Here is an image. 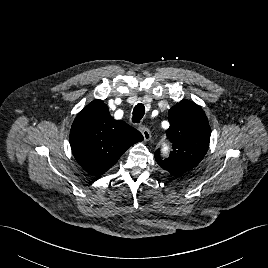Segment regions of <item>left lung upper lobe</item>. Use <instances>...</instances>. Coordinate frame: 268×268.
Returning <instances> with one entry per match:
<instances>
[{"label": "left lung upper lobe", "instance_id": "left-lung-upper-lobe-1", "mask_svg": "<svg viewBox=\"0 0 268 268\" xmlns=\"http://www.w3.org/2000/svg\"><path fill=\"white\" fill-rule=\"evenodd\" d=\"M170 127L167 138L173 144L169 157L162 160L155 152L158 164L172 176H179L197 166L205 156L210 127L204 111L194 102L182 100L168 112Z\"/></svg>", "mask_w": 268, "mask_h": 268}]
</instances>
